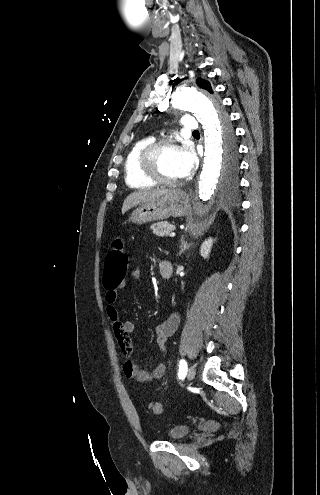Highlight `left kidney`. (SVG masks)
I'll list each match as a JSON object with an SVG mask.
<instances>
[{
    "mask_svg": "<svg viewBox=\"0 0 320 495\" xmlns=\"http://www.w3.org/2000/svg\"><path fill=\"white\" fill-rule=\"evenodd\" d=\"M213 242H214V239H212V238L206 239L203 242V244L201 246V249H200V253H201V256L203 258H208L209 257V254L211 252V248H212Z\"/></svg>",
    "mask_w": 320,
    "mask_h": 495,
    "instance_id": "5707ae66",
    "label": "left kidney"
}]
</instances>
